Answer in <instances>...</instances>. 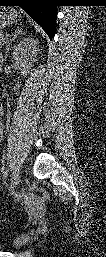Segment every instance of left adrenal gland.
Returning <instances> with one entry per match:
<instances>
[{
  "instance_id": "1",
  "label": "left adrenal gland",
  "mask_w": 106,
  "mask_h": 257,
  "mask_svg": "<svg viewBox=\"0 0 106 257\" xmlns=\"http://www.w3.org/2000/svg\"><path fill=\"white\" fill-rule=\"evenodd\" d=\"M23 34L22 30L17 28L15 30V32L12 35V39L10 40V42L8 43L7 47H6V51H5V59L7 58V53L9 51L10 45L12 44V42L17 38L18 35Z\"/></svg>"
}]
</instances>
